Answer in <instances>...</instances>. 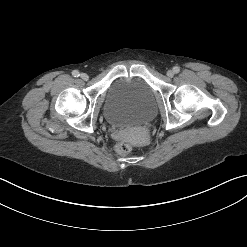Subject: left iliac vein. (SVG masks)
Returning a JSON list of instances; mask_svg holds the SVG:
<instances>
[{
	"instance_id": "left-iliac-vein-1",
	"label": "left iliac vein",
	"mask_w": 247,
	"mask_h": 247,
	"mask_svg": "<svg viewBox=\"0 0 247 247\" xmlns=\"http://www.w3.org/2000/svg\"><path fill=\"white\" fill-rule=\"evenodd\" d=\"M173 75H174V72H173L172 70H169V71L167 72V76H168V77H173Z\"/></svg>"
}]
</instances>
